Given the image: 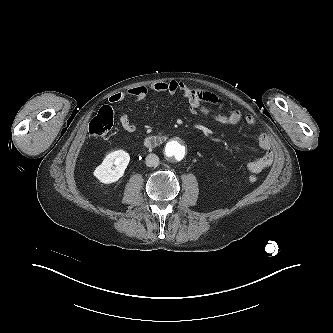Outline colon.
Listing matches in <instances>:
<instances>
[{
    "mask_svg": "<svg viewBox=\"0 0 333 333\" xmlns=\"http://www.w3.org/2000/svg\"><path fill=\"white\" fill-rule=\"evenodd\" d=\"M113 126V111L109 106H103L99 109L97 115L89 124V132L94 136H104L110 132ZM251 183L257 181L256 175L248 177Z\"/></svg>",
    "mask_w": 333,
    "mask_h": 333,
    "instance_id": "obj_1",
    "label": "colon"
}]
</instances>
